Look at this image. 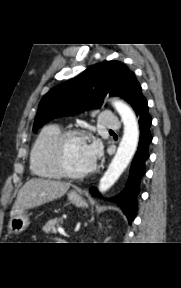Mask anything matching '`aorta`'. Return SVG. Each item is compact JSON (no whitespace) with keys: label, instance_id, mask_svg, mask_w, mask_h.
I'll return each instance as SVG.
<instances>
[{"label":"aorta","instance_id":"1","mask_svg":"<svg viewBox=\"0 0 181 288\" xmlns=\"http://www.w3.org/2000/svg\"><path fill=\"white\" fill-rule=\"evenodd\" d=\"M113 106L122 119L124 132L117 152L100 180L98 188L102 193L110 189L127 168L139 141L138 122L132 109L122 101H113Z\"/></svg>","mask_w":181,"mask_h":288}]
</instances>
